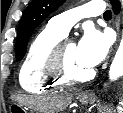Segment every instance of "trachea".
<instances>
[{
  "mask_svg": "<svg viewBox=\"0 0 123 113\" xmlns=\"http://www.w3.org/2000/svg\"><path fill=\"white\" fill-rule=\"evenodd\" d=\"M103 17H112V13H111V11L110 10H106L105 12H104V14H103Z\"/></svg>",
  "mask_w": 123,
  "mask_h": 113,
  "instance_id": "3493384b",
  "label": "trachea"
}]
</instances>
